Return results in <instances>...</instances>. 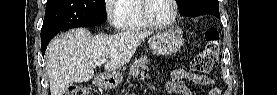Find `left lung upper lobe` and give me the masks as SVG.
<instances>
[{"instance_id":"obj_1","label":"left lung upper lobe","mask_w":277,"mask_h":95,"mask_svg":"<svg viewBox=\"0 0 277 95\" xmlns=\"http://www.w3.org/2000/svg\"><path fill=\"white\" fill-rule=\"evenodd\" d=\"M181 16L195 17L212 14L219 17L218 0H176Z\"/></svg>"}]
</instances>
